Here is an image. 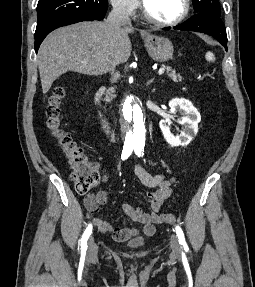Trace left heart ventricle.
Masks as SVG:
<instances>
[{"label": "left heart ventricle", "instance_id": "obj_1", "mask_svg": "<svg viewBox=\"0 0 255 287\" xmlns=\"http://www.w3.org/2000/svg\"><path fill=\"white\" fill-rule=\"evenodd\" d=\"M119 33H128V32H119ZM150 33H169V32H150ZM118 39H130V38H118ZM150 39H165V38H150ZM120 48H129V47H120ZM150 48H164V47H150Z\"/></svg>", "mask_w": 255, "mask_h": 287}]
</instances>
